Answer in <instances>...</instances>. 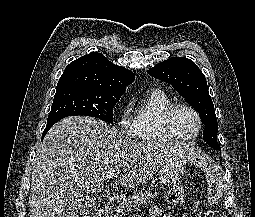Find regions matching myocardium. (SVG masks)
Wrapping results in <instances>:
<instances>
[{
	"mask_svg": "<svg viewBox=\"0 0 255 217\" xmlns=\"http://www.w3.org/2000/svg\"><path fill=\"white\" fill-rule=\"evenodd\" d=\"M178 108H186V109L190 110L195 115L197 122H198V126H197V129L194 134L182 135V134L178 133L177 130L175 129V127L173 125V116H174L175 111ZM162 122H163L164 129L171 137H173L174 139L185 140V141L193 140V139L197 138L201 132L202 125H203V120H202V117H201L199 111L192 105L185 103V102H176V103L171 104L169 107H167L163 112Z\"/></svg>",
	"mask_w": 255,
	"mask_h": 217,
	"instance_id": "1",
	"label": "myocardium"
}]
</instances>
